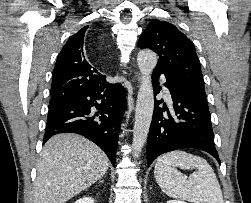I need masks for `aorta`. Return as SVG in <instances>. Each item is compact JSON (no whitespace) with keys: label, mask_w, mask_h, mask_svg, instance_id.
Returning a JSON list of instances; mask_svg holds the SVG:
<instances>
[{"label":"aorta","mask_w":251,"mask_h":203,"mask_svg":"<svg viewBox=\"0 0 251 203\" xmlns=\"http://www.w3.org/2000/svg\"><path fill=\"white\" fill-rule=\"evenodd\" d=\"M141 82L137 96L135 123L133 128V156L139 157L146 142L154 110V92L151 74L157 64V55L149 49L141 50L137 56Z\"/></svg>","instance_id":"762f6f07"}]
</instances>
